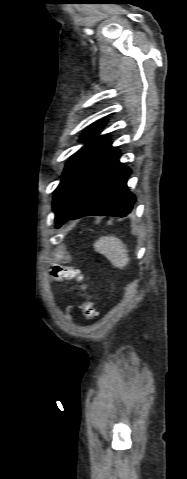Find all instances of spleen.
<instances>
[{"mask_svg":"<svg viewBox=\"0 0 187 479\" xmlns=\"http://www.w3.org/2000/svg\"><path fill=\"white\" fill-rule=\"evenodd\" d=\"M93 246L95 251L103 254L114 267L122 269L129 263L126 245L115 236H103Z\"/></svg>","mask_w":187,"mask_h":479,"instance_id":"3e777b00","label":"spleen"}]
</instances>
